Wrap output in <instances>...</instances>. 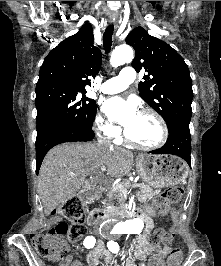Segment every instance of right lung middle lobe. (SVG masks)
Here are the masks:
<instances>
[{"mask_svg":"<svg viewBox=\"0 0 221 266\" xmlns=\"http://www.w3.org/2000/svg\"><path fill=\"white\" fill-rule=\"evenodd\" d=\"M37 136L53 126L72 123L92 128L96 102L86 91L64 87L36 89Z\"/></svg>","mask_w":221,"mask_h":266,"instance_id":"dd1d6c3e","label":"right lung middle lobe"}]
</instances>
